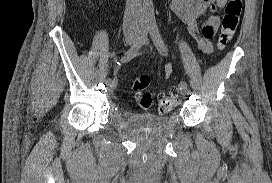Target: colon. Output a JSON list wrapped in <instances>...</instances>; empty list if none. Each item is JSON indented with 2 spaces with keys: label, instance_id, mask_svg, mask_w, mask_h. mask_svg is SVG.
Wrapping results in <instances>:
<instances>
[{
  "label": "colon",
  "instance_id": "colon-1",
  "mask_svg": "<svg viewBox=\"0 0 272 183\" xmlns=\"http://www.w3.org/2000/svg\"><path fill=\"white\" fill-rule=\"evenodd\" d=\"M241 12L242 0H228L219 38V47L221 49H223L233 37L239 23ZM150 81L151 79L148 74H142L132 81L131 88L135 93L138 105L143 109H150L155 106L159 113H166L172 110L179 101L177 92L173 91L155 100L153 95L147 91Z\"/></svg>",
  "mask_w": 272,
  "mask_h": 183
}]
</instances>
